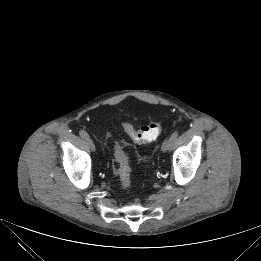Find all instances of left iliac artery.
<instances>
[{
	"label": "left iliac artery",
	"mask_w": 261,
	"mask_h": 261,
	"mask_svg": "<svg viewBox=\"0 0 261 261\" xmlns=\"http://www.w3.org/2000/svg\"><path fill=\"white\" fill-rule=\"evenodd\" d=\"M178 131H175L169 138L171 146L175 143L177 137H178Z\"/></svg>",
	"instance_id": "1"
}]
</instances>
